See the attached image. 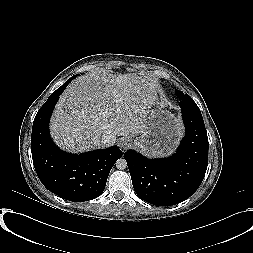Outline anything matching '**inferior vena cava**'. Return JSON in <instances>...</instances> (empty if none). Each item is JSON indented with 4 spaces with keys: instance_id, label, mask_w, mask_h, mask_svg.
Here are the masks:
<instances>
[{
    "instance_id": "1",
    "label": "inferior vena cava",
    "mask_w": 253,
    "mask_h": 253,
    "mask_svg": "<svg viewBox=\"0 0 253 253\" xmlns=\"http://www.w3.org/2000/svg\"><path fill=\"white\" fill-rule=\"evenodd\" d=\"M100 143L103 145H107L110 143V136L103 135L100 139Z\"/></svg>"
}]
</instances>
